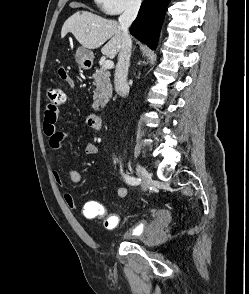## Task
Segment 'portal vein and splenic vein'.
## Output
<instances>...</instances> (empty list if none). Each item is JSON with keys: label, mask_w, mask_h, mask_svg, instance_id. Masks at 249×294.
Masks as SVG:
<instances>
[{"label": "portal vein and splenic vein", "mask_w": 249, "mask_h": 294, "mask_svg": "<svg viewBox=\"0 0 249 294\" xmlns=\"http://www.w3.org/2000/svg\"><path fill=\"white\" fill-rule=\"evenodd\" d=\"M113 65H114V63H113V61H111V60H106L105 62H104V67L106 68V69H111L112 67H113Z\"/></svg>", "instance_id": "portal-vein-and-splenic-vein-1"}]
</instances>
